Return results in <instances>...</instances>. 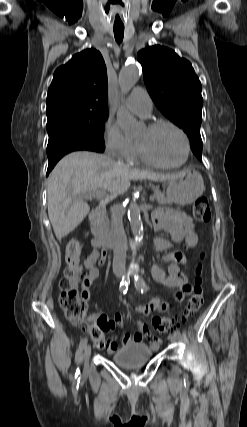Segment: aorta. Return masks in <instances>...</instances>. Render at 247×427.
Instances as JSON below:
<instances>
[{"mask_svg": "<svg viewBox=\"0 0 247 427\" xmlns=\"http://www.w3.org/2000/svg\"><path fill=\"white\" fill-rule=\"evenodd\" d=\"M139 78V68L136 63L125 65L119 73V88L121 93L130 91ZM117 123L126 136H136L140 132V125L127 109L117 112ZM140 208L136 201L130 203L128 208V219L133 235L136 238L143 236V222L140 216Z\"/></svg>", "mask_w": 247, "mask_h": 427, "instance_id": "762f6f07", "label": "aorta"}]
</instances>
